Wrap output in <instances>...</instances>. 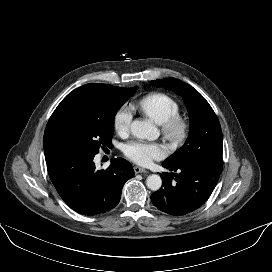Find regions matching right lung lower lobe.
I'll return each instance as SVG.
<instances>
[{"label":"right lung lower lobe","instance_id":"right-lung-lower-lobe-1","mask_svg":"<svg viewBox=\"0 0 272 272\" xmlns=\"http://www.w3.org/2000/svg\"><path fill=\"white\" fill-rule=\"evenodd\" d=\"M95 155L70 156L48 163V173L57 192L74 211L97 215L114 208L123 185L134 176L132 165L113 158L106 170H97Z\"/></svg>","mask_w":272,"mask_h":272}]
</instances>
